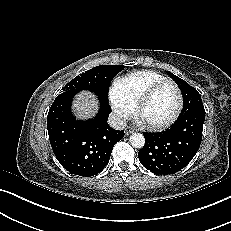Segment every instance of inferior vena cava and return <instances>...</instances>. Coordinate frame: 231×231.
Masks as SVG:
<instances>
[{
  "label": "inferior vena cava",
  "mask_w": 231,
  "mask_h": 231,
  "mask_svg": "<svg viewBox=\"0 0 231 231\" xmlns=\"http://www.w3.org/2000/svg\"><path fill=\"white\" fill-rule=\"evenodd\" d=\"M108 124L116 130H123L127 125V121L123 116L111 113L108 118Z\"/></svg>",
  "instance_id": "602c4592"
}]
</instances>
